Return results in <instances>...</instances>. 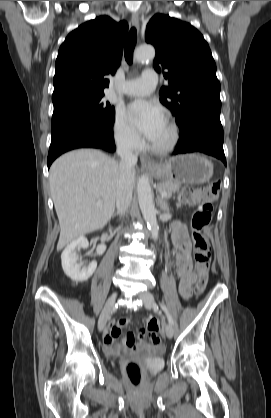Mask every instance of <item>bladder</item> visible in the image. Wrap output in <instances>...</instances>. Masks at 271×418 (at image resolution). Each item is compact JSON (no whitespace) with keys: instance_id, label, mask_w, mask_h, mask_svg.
Returning <instances> with one entry per match:
<instances>
[{"instance_id":"obj_1","label":"bladder","mask_w":271,"mask_h":418,"mask_svg":"<svg viewBox=\"0 0 271 418\" xmlns=\"http://www.w3.org/2000/svg\"><path fill=\"white\" fill-rule=\"evenodd\" d=\"M163 351H154L152 352L146 361L147 369L150 373H157L164 367V359L162 357Z\"/></svg>"}]
</instances>
